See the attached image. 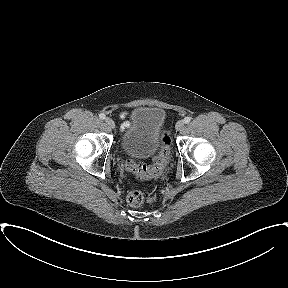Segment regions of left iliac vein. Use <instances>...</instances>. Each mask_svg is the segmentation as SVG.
<instances>
[{
	"label": "left iliac vein",
	"instance_id": "1",
	"mask_svg": "<svg viewBox=\"0 0 288 288\" xmlns=\"http://www.w3.org/2000/svg\"><path fill=\"white\" fill-rule=\"evenodd\" d=\"M176 130L177 131H181L182 129H183V127H184V121H182V120H180V121H178L177 123H176Z\"/></svg>",
	"mask_w": 288,
	"mask_h": 288
}]
</instances>
